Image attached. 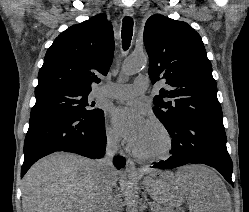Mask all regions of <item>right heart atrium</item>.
<instances>
[{"label": "right heart atrium", "mask_w": 249, "mask_h": 212, "mask_svg": "<svg viewBox=\"0 0 249 212\" xmlns=\"http://www.w3.org/2000/svg\"><path fill=\"white\" fill-rule=\"evenodd\" d=\"M105 139L109 147L115 148L117 146V137L110 127L105 128Z\"/></svg>", "instance_id": "right-heart-atrium-1"}]
</instances>
